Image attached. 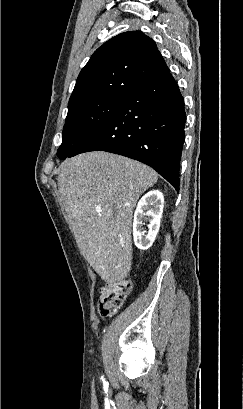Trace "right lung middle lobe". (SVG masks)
<instances>
[{"label": "right lung middle lobe", "instance_id": "dd1d6c3e", "mask_svg": "<svg viewBox=\"0 0 243 409\" xmlns=\"http://www.w3.org/2000/svg\"><path fill=\"white\" fill-rule=\"evenodd\" d=\"M125 99L100 98L69 105L62 133L63 141L57 156L65 159L82 142L100 130Z\"/></svg>", "mask_w": 243, "mask_h": 409}]
</instances>
